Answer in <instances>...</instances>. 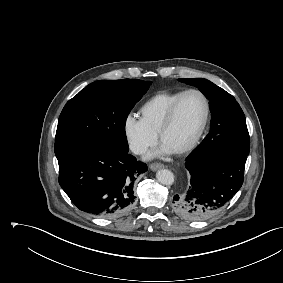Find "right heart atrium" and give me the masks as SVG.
Segmentation results:
<instances>
[{
  "label": "right heart atrium",
  "instance_id": "right-heart-atrium-1",
  "mask_svg": "<svg viewBox=\"0 0 283 283\" xmlns=\"http://www.w3.org/2000/svg\"><path fill=\"white\" fill-rule=\"evenodd\" d=\"M123 132L130 150L136 155L146 153L157 141L141 118L128 114L123 122Z\"/></svg>",
  "mask_w": 283,
  "mask_h": 283
}]
</instances>
